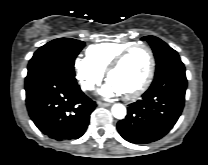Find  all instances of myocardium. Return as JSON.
<instances>
[{"label": "myocardium", "instance_id": "obj_1", "mask_svg": "<svg viewBox=\"0 0 208 165\" xmlns=\"http://www.w3.org/2000/svg\"><path fill=\"white\" fill-rule=\"evenodd\" d=\"M136 48H144L148 52L149 69H148V72L144 81L139 87H137L135 90L129 93L123 94V97L128 100L137 98L138 96L143 94L148 89V87L150 86L152 82V79L155 73V64H156L155 56H154V52L152 48L145 43H133L132 45L121 50L115 56V58L108 65L106 72H105L106 78L109 80V75L111 74V72L114 71L116 68H118L121 65V63L124 61V59Z\"/></svg>", "mask_w": 208, "mask_h": 165}]
</instances>
